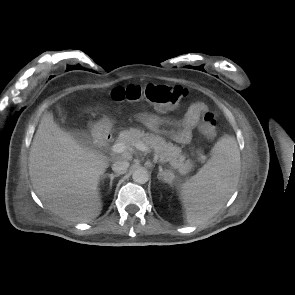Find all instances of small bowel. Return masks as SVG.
I'll return each instance as SVG.
<instances>
[{"label": "small bowel", "instance_id": "small-bowel-1", "mask_svg": "<svg viewBox=\"0 0 295 295\" xmlns=\"http://www.w3.org/2000/svg\"><path fill=\"white\" fill-rule=\"evenodd\" d=\"M209 109L206 104L202 102H196L192 104L183 119L177 124L176 129L169 131L171 138L180 143L187 144L192 138L193 129L199 123L204 113ZM137 120L152 131H161L162 119L159 115L151 112H140L137 114Z\"/></svg>", "mask_w": 295, "mask_h": 295}]
</instances>
